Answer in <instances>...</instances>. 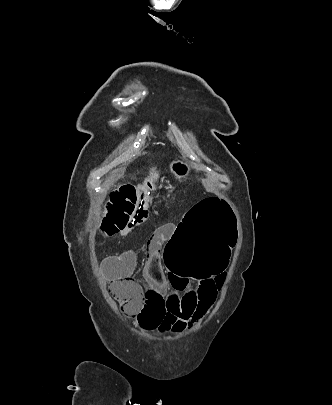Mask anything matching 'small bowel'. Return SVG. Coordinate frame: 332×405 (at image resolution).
<instances>
[{
    "label": "small bowel",
    "mask_w": 332,
    "mask_h": 405,
    "mask_svg": "<svg viewBox=\"0 0 332 405\" xmlns=\"http://www.w3.org/2000/svg\"><path fill=\"white\" fill-rule=\"evenodd\" d=\"M146 183L139 184L136 192L137 208H132V217H139L138 222L126 229L124 234L144 222L149 215L150 194H152L153 176H145ZM174 227L163 224L153 232L147 244V260L144 276L141 280V310L137 313V326L144 332L180 333L193 322L203 317L215 301L217 290L214 278L208 275L207 281H199L196 287L190 286L187 275H169L165 273L161 261V246L172 240ZM136 255L127 250L105 257L101 266L105 274L115 280L131 275L134 270ZM169 290L173 293L169 294Z\"/></svg>",
    "instance_id": "1"
}]
</instances>
